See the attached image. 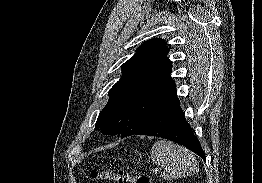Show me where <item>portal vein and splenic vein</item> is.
Returning a JSON list of instances; mask_svg holds the SVG:
<instances>
[{"mask_svg":"<svg viewBox=\"0 0 262 183\" xmlns=\"http://www.w3.org/2000/svg\"><path fill=\"white\" fill-rule=\"evenodd\" d=\"M154 173H155V174H158V173H160V170H159V169H156V170H154Z\"/></svg>","mask_w":262,"mask_h":183,"instance_id":"portal-vein-and-splenic-vein-1","label":"portal vein and splenic vein"}]
</instances>
